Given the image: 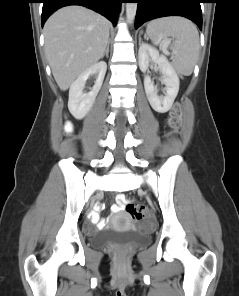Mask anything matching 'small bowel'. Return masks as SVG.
<instances>
[{
    "mask_svg": "<svg viewBox=\"0 0 239 296\" xmlns=\"http://www.w3.org/2000/svg\"><path fill=\"white\" fill-rule=\"evenodd\" d=\"M124 200H125L124 195H118L117 204L112 207V210H113L114 213H117V212H119L121 210ZM90 217H91V220H92V222L94 224H97V225L101 224L102 221H101V219L99 217L98 212H96V211L92 212Z\"/></svg>",
    "mask_w": 239,
    "mask_h": 296,
    "instance_id": "1",
    "label": "small bowel"
}]
</instances>
